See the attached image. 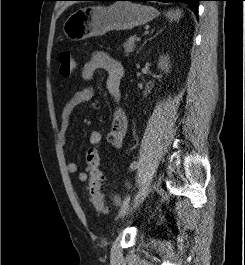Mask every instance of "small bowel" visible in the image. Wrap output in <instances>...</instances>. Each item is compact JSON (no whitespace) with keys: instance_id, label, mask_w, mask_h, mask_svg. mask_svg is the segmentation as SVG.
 I'll list each match as a JSON object with an SVG mask.
<instances>
[{"instance_id":"obj_1","label":"small bowel","mask_w":245,"mask_h":265,"mask_svg":"<svg viewBox=\"0 0 245 265\" xmlns=\"http://www.w3.org/2000/svg\"><path fill=\"white\" fill-rule=\"evenodd\" d=\"M102 69L107 73L106 88L115 102L120 99V83L124 76V68L122 65L105 52H95L90 61H88L82 69V78L86 81L91 80L94 73ZM95 95L94 88L90 85L80 87L74 91L71 98L67 101L61 111L60 126L58 137L62 145L66 142V134L69 128L70 118L73 112L80 106L86 104ZM128 120L122 108L117 107L113 114L110 130L106 135L107 142L113 147L119 148L123 145ZM104 139L102 132L93 130L90 133L89 141L93 147H98ZM67 171L71 174L77 173L78 165L75 161L67 163ZM78 179L81 182L88 180V175L85 172L78 173ZM129 187V184H126ZM112 202L115 205L121 204V199L116 194L110 195Z\"/></svg>"}]
</instances>
